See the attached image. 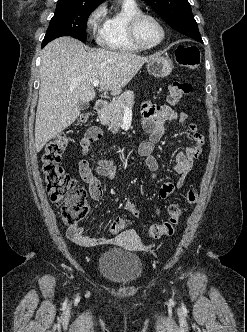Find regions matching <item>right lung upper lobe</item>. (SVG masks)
<instances>
[{
    "label": "right lung upper lobe",
    "instance_id": "obj_1",
    "mask_svg": "<svg viewBox=\"0 0 247 332\" xmlns=\"http://www.w3.org/2000/svg\"><path fill=\"white\" fill-rule=\"evenodd\" d=\"M89 1H94V2L102 3L104 0H89Z\"/></svg>",
    "mask_w": 247,
    "mask_h": 332
}]
</instances>
